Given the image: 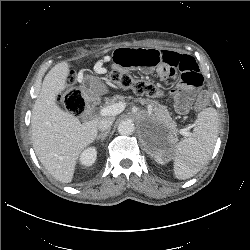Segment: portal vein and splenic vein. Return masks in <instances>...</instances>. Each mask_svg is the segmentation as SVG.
Returning a JSON list of instances; mask_svg holds the SVG:
<instances>
[{"mask_svg": "<svg viewBox=\"0 0 250 250\" xmlns=\"http://www.w3.org/2000/svg\"><path fill=\"white\" fill-rule=\"evenodd\" d=\"M125 107H126L125 102L114 103V104L108 105L100 109L99 115L100 116H116L120 114L125 109ZM179 133L186 137L190 136V132L188 131V128L180 129Z\"/></svg>", "mask_w": 250, "mask_h": 250, "instance_id": "1", "label": "portal vein and splenic vein"}]
</instances>
